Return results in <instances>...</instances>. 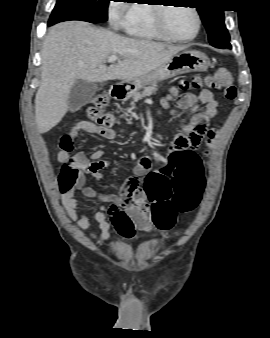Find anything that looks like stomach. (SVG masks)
I'll use <instances>...</instances> for the list:
<instances>
[{
    "instance_id": "1",
    "label": "stomach",
    "mask_w": 270,
    "mask_h": 338,
    "mask_svg": "<svg viewBox=\"0 0 270 338\" xmlns=\"http://www.w3.org/2000/svg\"><path fill=\"white\" fill-rule=\"evenodd\" d=\"M209 66L210 61L203 53L193 50H183L149 73L127 81L122 85V88L128 93H132L146 85L157 83L177 75L206 71Z\"/></svg>"
}]
</instances>
